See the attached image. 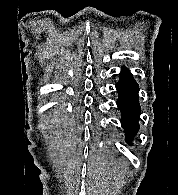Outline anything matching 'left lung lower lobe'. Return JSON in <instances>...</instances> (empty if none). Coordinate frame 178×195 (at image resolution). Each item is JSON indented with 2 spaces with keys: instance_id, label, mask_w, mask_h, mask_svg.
Instances as JSON below:
<instances>
[{
  "instance_id": "1",
  "label": "left lung lower lobe",
  "mask_w": 178,
  "mask_h": 195,
  "mask_svg": "<svg viewBox=\"0 0 178 195\" xmlns=\"http://www.w3.org/2000/svg\"><path fill=\"white\" fill-rule=\"evenodd\" d=\"M121 79L116 84L119 93L117 106L121 110L122 126L127 131V139L131 140L133 134L138 130V118L140 116V106L138 103V85L135 83L127 69L123 68Z\"/></svg>"
}]
</instances>
